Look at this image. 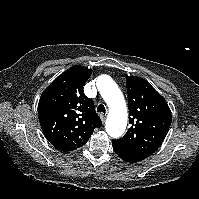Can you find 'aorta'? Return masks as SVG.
Here are the masks:
<instances>
[{
    "instance_id": "762f6f07",
    "label": "aorta",
    "mask_w": 199,
    "mask_h": 199,
    "mask_svg": "<svg viewBox=\"0 0 199 199\" xmlns=\"http://www.w3.org/2000/svg\"><path fill=\"white\" fill-rule=\"evenodd\" d=\"M97 87L109 107L106 132L112 138L120 137L127 125V108L122 92L107 75L97 79Z\"/></svg>"
}]
</instances>
